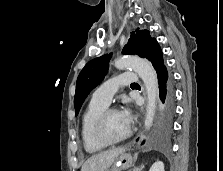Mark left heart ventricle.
Masks as SVG:
<instances>
[{
  "label": "left heart ventricle",
  "instance_id": "left-heart-ventricle-1",
  "mask_svg": "<svg viewBox=\"0 0 223 171\" xmlns=\"http://www.w3.org/2000/svg\"><path fill=\"white\" fill-rule=\"evenodd\" d=\"M104 130L108 138L116 140L128 132L129 126L119 112H114L108 115Z\"/></svg>",
  "mask_w": 223,
  "mask_h": 171
}]
</instances>
